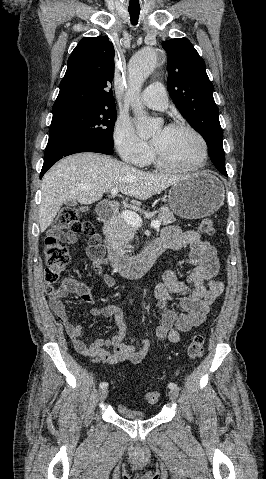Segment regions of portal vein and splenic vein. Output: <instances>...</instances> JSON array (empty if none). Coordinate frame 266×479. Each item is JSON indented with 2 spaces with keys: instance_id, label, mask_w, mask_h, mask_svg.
Segmentation results:
<instances>
[{
  "instance_id": "portal-vein-and-splenic-vein-1",
  "label": "portal vein and splenic vein",
  "mask_w": 266,
  "mask_h": 479,
  "mask_svg": "<svg viewBox=\"0 0 266 479\" xmlns=\"http://www.w3.org/2000/svg\"><path fill=\"white\" fill-rule=\"evenodd\" d=\"M111 197H115L118 194V188H112L110 190ZM122 218L133 227H140L142 224L141 217L135 212L125 210L121 213ZM161 226V221H153L151 223L152 228H159Z\"/></svg>"
}]
</instances>
